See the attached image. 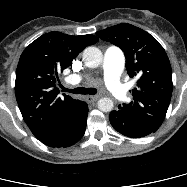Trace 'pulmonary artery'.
I'll use <instances>...</instances> for the list:
<instances>
[{"label":"pulmonary artery","mask_w":187,"mask_h":187,"mask_svg":"<svg viewBox=\"0 0 187 187\" xmlns=\"http://www.w3.org/2000/svg\"><path fill=\"white\" fill-rule=\"evenodd\" d=\"M124 54L115 46H110L104 54L102 69L104 72V82L112 94L119 100L126 98V90L120 81V76L124 67ZM82 80L80 75H72L67 78L70 84H78Z\"/></svg>","instance_id":"e3ab8cb5"}]
</instances>
